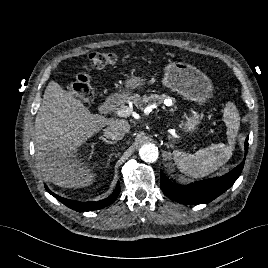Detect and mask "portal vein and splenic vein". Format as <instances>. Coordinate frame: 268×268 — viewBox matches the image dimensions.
<instances>
[{
    "instance_id": "18ae733b",
    "label": "portal vein and splenic vein",
    "mask_w": 268,
    "mask_h": 268,
    "mask_svg": "<svg viewBox=\"0 0 268 268\" xmlns=\"http://www.w3.org/2000/svg\"><path fill=\"white\" fill-rule=\"evenodd\" d=\"M131 113H132V110L127 106H121V107L116 109V114L119 117L127 118L131 115Z\"/></svg>"
}]
</instances>
